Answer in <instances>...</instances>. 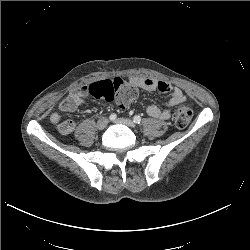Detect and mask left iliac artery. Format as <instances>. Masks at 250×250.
Masks as SVG:
<instances>
[{"mask_svg":"<svg viewBox=\"0 0 250 250\" xmlns=\"http://www.w3.org/2000/svg\"><path fill=\"white\" fill-rule=\"evenodd\" d=\"M133 121H134L136 124H140V122H141V117L138 116V115H136V116L133 117Z\"/></svg>","mask_w":250,"mask_h":250,"instance_id":"obj_1","label":"left iliac artery"}]
</instances>
